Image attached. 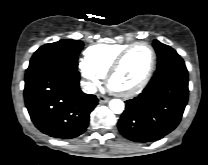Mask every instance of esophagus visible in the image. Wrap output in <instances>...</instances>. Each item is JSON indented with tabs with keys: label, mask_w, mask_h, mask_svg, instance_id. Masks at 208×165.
Segmentation results:
<instances>
[{
	"label": "esophagus",
	"mask_w": 208,
	"mask_h": 165,
	"mask_svg": "<svg viewBox=\"0 0 208 165\" xmlns=\"http://www.w3.org/2000/svg\"><path fill=\"white\" fill-rule=\"evenodd\" d=\"M98 99L101 104L107 103L109 101V98L105 96H98Z\"/></svg>",
	"instance_id": "34e87169"
}]
</instances>
